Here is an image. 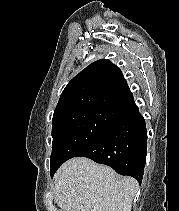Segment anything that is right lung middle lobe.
<instances>
[{
  "label": "right lung middle lobe",
  "instance_id": "1",
  "mask_svg": "<svg viewBox=\"0 0 179 211\" xmlns=\"http://www.w3.org/2000/svg\"><path fill=\"white\" fill-rule=\"evenodd\" d=\"M118 116V111L94 109L75 112L53 121L50 171L98 141Z\"/></svg>",
  "mask_w": 179,
  "mask_h": 211
}]
</instances>
